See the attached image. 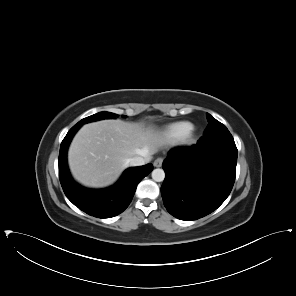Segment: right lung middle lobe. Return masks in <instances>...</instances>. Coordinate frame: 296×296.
<instances>
[{
  "label": "right lung middle lobe",
  "mask_w": 296,
  "mask_h": 296,
  "mask_svg": "<svg viewBox=\"0 0 296 296\" xmlns=\"http://www.w3.org/2000/svg\"><path fill=\"white\" fill-rule=\"evenodd\" d=\"M116 116H117V114L110 113V112H99L97 114H94V115H91L89 117L82 119L81 121H79L77 123V125L82 126L83 124L88 123V122H93V121L102 120V119L115 118ZM123 116L126 117L125 115H123Z\"/></svg>",
  "instance_id": "right-lung-middle-lobe-1"
}]
</instances>
